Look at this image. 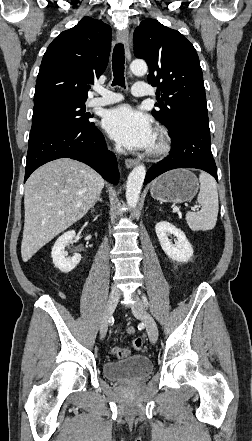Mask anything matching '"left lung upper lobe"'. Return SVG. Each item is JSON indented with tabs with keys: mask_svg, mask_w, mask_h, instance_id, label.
Segmentation results:
<instances>
[{
	"mask_svg": "<svg viewBox=\"0 0 252 441\" xmlns=\"http://www.w3.org/2000/svg\"><path fill=\"white\" fill-rule=\"evenodd\" d=\"M134 55L149 66L148 82L157 86L162 96L152 114L169 132L190 117L208 121L199 58L181 33L146 19L135 30Z\"/></svg>",
	"mask_w": 252,
	"mask_h": 441,
	"instance_id": "5c2ea615",
	"label": "left lung upper lobe"
}]
</instances>
